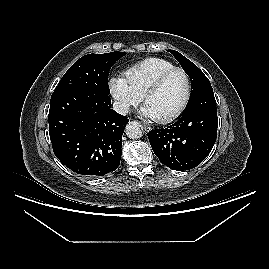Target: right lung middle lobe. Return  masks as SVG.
Wrapping results in <instances>:
<instances>
[{
	"label": "right lung middle lobe",
	"instance_id": "dd1d6c3e",
	"mask_svg": "<svg viewBox=\"0 0 269 269\" xmlns=\"http://www.w3.org/2000/svg\"><path fill=\"white\" fill-rule=\"evenodd\" d=\"M124 55L125 52H111L81 57L65 73L55 91L79 88L109 95V71Z\"/></svg>",
	"mask_w": 269,
	"mask_h": 269
}]
</instances>
